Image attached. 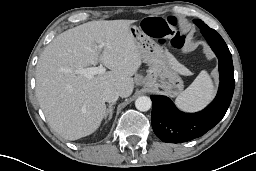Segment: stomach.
<instances>
[{
  "instance_id": "obj_1",
  "label": "stomach",
  "mask_w": 256,
  "mask_h": 171,
  "mask_svg": "<svg viewBox=\"0 0 256 171\" xmlns=\"http://www.w3.org/2000/svg\"><path fill=\"white\" fill-rule=\"evenodd\" d=\"M130 32L139 48L143 62L149 65L144 86L149 89L161 88L170 97L177 96L184 85L176 70L174 57L141 27L131 25Z\"/></svg>"
}]
</instances>
